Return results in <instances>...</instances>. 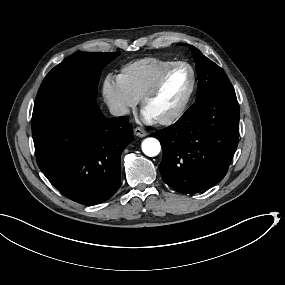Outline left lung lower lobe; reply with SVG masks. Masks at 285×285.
Masks as SVG:
<instances>
[{
	"instance_id": "1",
	"label": "left lung lower lobe",
	"mask_w": 285,
	"mask_h": 285,
	"mask_svg": "<svg viewBox=\"0 0 285 285\" xmlns=\"http://www.w3.org/2000/svg\"><path fill=\"white\" fill-rule=\"evenodd\" d=\"M163 150V181L177 192L197 193L220 182L239 138L236 95L194 103L173 125L157 131Z\"/></svg>"
}]
</instances>
